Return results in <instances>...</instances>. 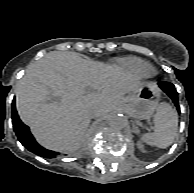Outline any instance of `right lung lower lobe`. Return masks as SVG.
<instances>
[{"label": "right lung lower lobe", "mask_w": 194, "mask_h": 193, "mask_svg": "<svg viewBox=\"0 0 194 193\" xmlns=\"http://www.w3.org/2000/svg\"><path fill=\"white\" fill-rule=\"evenodd\" d=\"M12 122H13L14 131L19 141L29 151L44 158L56 157L58 153L43 148L35 141L32 134L30 133L29 128L25 124H23L22 121L19 119V116L16 111V107H15V101L12 102Z\"/></svg>", "instance_id": "right-lung-lower-lobe-1"}]
</instances>
